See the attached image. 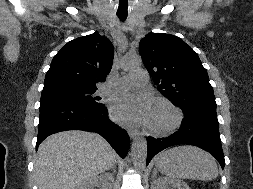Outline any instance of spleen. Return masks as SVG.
Returning <instances> with one entry per match:
<instances>
[{"mask_svg": "<svg viewBox=\"0 0 253 189\" xmlns=\"http://www.w3.org/2000/svg\"><path fill=\"white\" fill-rule=\"evenodd\" d=\"M156 168L171 179L213 180L218 176L216 160L195 146H176L160 153Z\"/></svg>", "mask_w": 253, "mask_h": 189, "instance_id": "3e777b00", "label": "spleen"}]
</instances>
